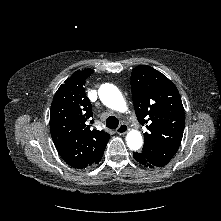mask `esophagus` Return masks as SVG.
Masks as SVG:
<instances>
[{
  "instance_id": "obj_1",
  "label": "esophagus",
  "mask_w": 221,
  "mask_h": 221,
  "mask_svg": "<svg viewBox=\"0 0 221 221\" xmlns=\"http://www.w3.org/2000/svg\"><path fill=\"white\" fill-rule=\"evenodd\" d=\"M128 127L125 124H121L117 129L116 132L120 135L127 133Z\"/></svg>"
}]
</instances>
